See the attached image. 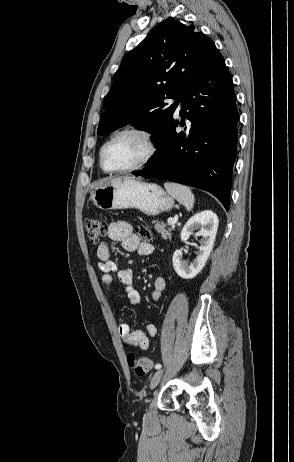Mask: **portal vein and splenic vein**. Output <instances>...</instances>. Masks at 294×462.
Instances as JSON below:
<instances>
[{"mask_svg": "<svg viewBox=\"0 0 294 462\" xmlns=\"http://www.w3.org/2000/svg\"><path fill=\"white\" fill-rule=\"evenodd\" d=\"M177 221H178L177 218H168V224L171 225V226H175Z\"/></svg>", "mask_w": 294, "mask_h": 462, "instance_id": "portal-vein-and-splenic-vein-1", "label": "portal vein and splenic vein"}]
</instances>
